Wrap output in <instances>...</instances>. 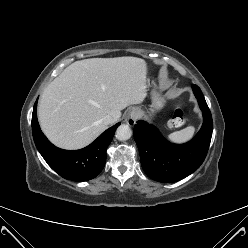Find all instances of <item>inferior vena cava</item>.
<instances>
[{"mask_svg":"<svg viewBox=\"0 0 248 248\" xmlns=\"http://www.w3.org/2000/svg\"><path fill=\"white\" fill-rule=\"evenodd\" d=\"M114 119L111 115H106L102 118V122L106 125L113 123Z\"/></svg>","mask_w":248,"mask_h":248,"instance_id":"inferior-vena-cava-1","label":"inferior vena cava"}]
</instances>
